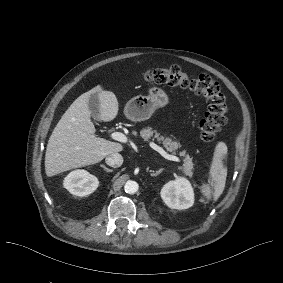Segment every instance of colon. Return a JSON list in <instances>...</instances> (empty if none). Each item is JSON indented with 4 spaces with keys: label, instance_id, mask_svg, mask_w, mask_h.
Returning a JSON list of instances; mask_svg holds the SVG:
<instances>
[{
    "label": "colon",
    "instance_id": "1",
    "mask_svg": "<svg viewBox=\"0 0 283 283\" xmlns=\"http://www.w3.org/2000/svg\"><path fill=\"white\" fill-rule=\"evenodd\" d=\"M144 80L151 84L188 89L206 99L207 109L200 121L203 141L212 143L226 123L228 112L226 97L219 83L207 74L190 76L178 66L151 69L144 73Z\"/></svg>",
    "mask_w": 283,
    "mask_h": 283
}]
</instances>
